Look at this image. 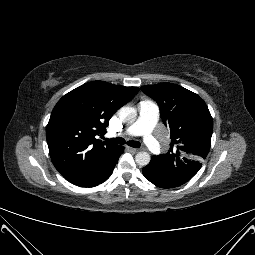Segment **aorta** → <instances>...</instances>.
Instances as JSON below:
<instances>
[{
  "label": "aorta",
  "mask_w": 255,
  "mask_h": 255,
  "mask_svg": "<svg viewBox=\"0 0 255 255\" xmlns=\"http://www.w3.org/2000/svg\"><path fill=\"white\" fill-rule=\"evenodd\" d=\"M120 115L124 121L132 123L136 120L137 112L132 107H124L122 108ZM150 160L151 157L149 153L144 151L138 152L135 156V161L140 166L148 165L150 163Z\"/></svg>",
  "instance_id": "762f6f07"
}]
</instances>
